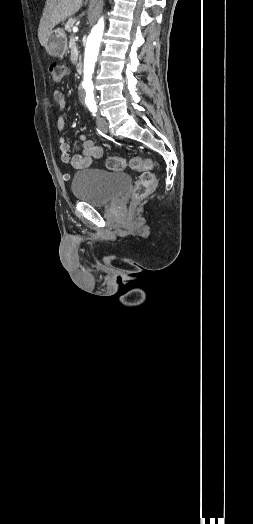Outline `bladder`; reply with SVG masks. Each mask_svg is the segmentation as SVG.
I'll return each instance as SVG.
<instances>
[{
  "instance_id": "bladder-1",
  "label": "bladder",
  "mask_w": 253,
  "mask_h": 524,
  "mask_svg": "<svg viewBox=\"0 0 253 524\" xmlns=\"http://www.w3.org/2000/svg\"><path fill=\"white\" fill-rule=\"evenodd\" d=\"M130 185L127 173L90 168L74 174L71 188L75 199L103 206L115 201Z\"/></svg>"
}]
</instances>
